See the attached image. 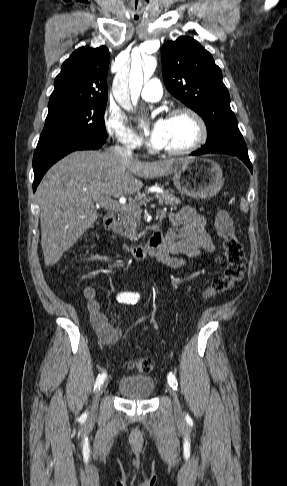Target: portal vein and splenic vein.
<instances>
[{"label":"portal vein and splenic vein","mask_w":287,"mask_h":486,"mask_svg":"<svg viewBox=\"0 0 287 486\" xmlns=\"http://www.w3.org/2000/svg\"><path fill=\"white\" fill-rule=\"evenodd\" d=\"M152 199H144L141 204H144L146 202L151 201ZM97 204L104 206L106 208L112 209V210H120L125 203L124 198H120L119 201L112 199L110 196H103L100 199H98Z\"/></svg>","instance_id":"portal-vein-and-splenic-vein-1"}]
</instances>
